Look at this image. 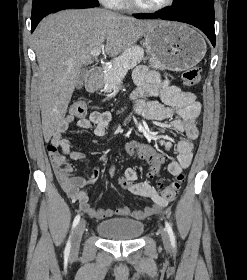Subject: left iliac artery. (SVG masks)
<instances>
[{
  "label": "left iliac artery",
  "mask_w": 247,
  "mask_h": 280,
  "mask_svg": "<svg viewBox=\"0 0 247 280\" xmlns=\"http://www.w3.org/2000/svg\"><path fill=\"white\" fill-rule=\"evenodd\" d=\"M165 226H166V230L168 232L169 238H170L171 246L173 248H175L176 247V239H175V234L172 230V227H171V225L168 221H165Z\"/></svg>",
  "instance_id": "obj_1"
}]
</instances>
